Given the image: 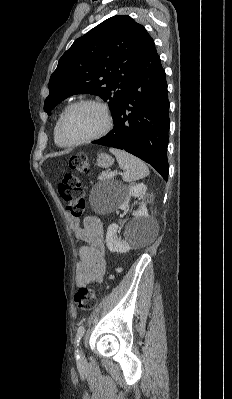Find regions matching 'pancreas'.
Wrapping results in <instances>:
<instances>
[{
    "label": "pancreas",
    "instance_id": "cf45deb5",
    "mask_svg": "<svg viewBox=\"0 0 232 399\" xmlns=\"http://www.w3.org/2000/svg\"><path fill=\"white\" fill-rule=\"evenodd\" d=\"M113 176H111L110 172H102L100 176H98V180H112Z\"/></svg>",
    "mask_w": 232,
    "mask_h": 399
}]
</instances>
